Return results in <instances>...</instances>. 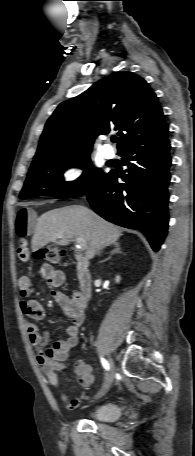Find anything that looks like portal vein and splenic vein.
Listing matches in <instances>:
<instances>
[{
    "instance_id": "portal-vein-and-splenic-vein-1",
    "label": "portal vein and splenic vein",
    "mask_w": 195,
    "mask_h": 456,
    "mask_svg": "<svg viewBox=\"0 0 195 456\" xmlns=\"http://www.w3.org/2000/svg\"><path fill=\"white\" fill-rule=\"evenodd\" d=\"M75 241L78 245L79 250L83 251L86 249V241L82 237H76Z\"/></svg>"
}]
</instances>
